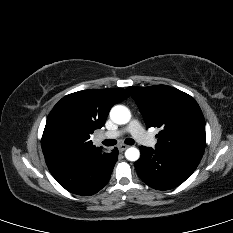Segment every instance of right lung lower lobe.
Here are the masks:
<instances>
[{"mask_svg":"<svg viewBox=\"0 0 233 233\" xmlns=\"http://www.w3.org/2000/svg\"><path fill=\"white\" fill-rule=\"evenodd\" d=\"M118 159V149L112 153L101 150L87 155H61L46 158L53 177L69 192L89 196L101 190L109 181Z\"/></svg>","mask_w":233,"mask_h":233,"instance_id":"98d812e1","label":"right lung lower lobe"}]
</instances>
